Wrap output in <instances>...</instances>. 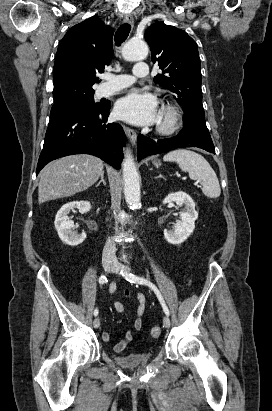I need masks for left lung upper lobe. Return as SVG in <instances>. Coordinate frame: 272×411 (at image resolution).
<instances>
[{
	"mask_svg": "<svg viewBox=\"0 0 272 411\" xmlns=\"http://www.w3.org/2000/svg\"><path fill=\"white\" fill-rule=\"evenodd\" d=\"M153 63L162 74L154 82L174 93L182 105L184 124L204 123L202 106L201 66L196 42L183 30L156 23L145 32Z\"/></svg>",
	"mask_w": 272,
	"mask_h": 411,
	"instance_id": "5c2ea615",
	"label": "left lung upper lobe"
}]
</instances>
